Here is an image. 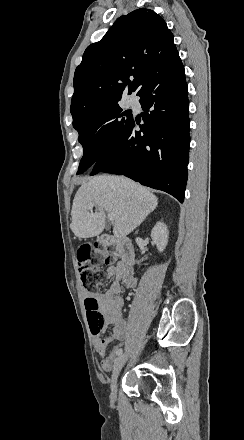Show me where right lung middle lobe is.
Returning a JSON list of instances; mask_svg holds the SVG:
<instances>
[{
  "label": "right lung middle lobe",
  "instance_id": "right-lung-middle-lobe-1",
  "mask_svg": "<svg viewBox=\"0 0 244 440\" xmlns=\"http://www.w3.org/2000/svg\"><path fill=\"white\" fill-rule=\"evenodd\" d=\"M120 100H104L88 107L71 110L73 127L78 131L79 142L84 149L77 174L93 166L114 145L132 120V115L127 111L122 112Z\"/></svg>",
  "mask_w": 244,
  "mask_h": 440
}]
</instances>
